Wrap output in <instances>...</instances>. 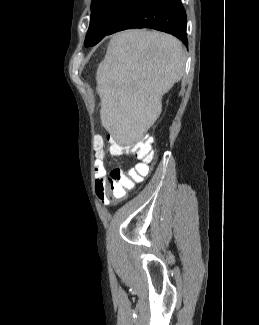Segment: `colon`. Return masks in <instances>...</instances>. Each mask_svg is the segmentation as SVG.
<instances>
[{
  "mask_svg": "<svg viewBox=\"0 0 259 325\" xmlns=\"http://www.w3.org/2000/svg\"><path fill=\"white\" fill-rule=\"evenodd\" d=\"M110 142V150L113 155L130 154L140 159L141 163L127 171L114 168L109 175L101 181L98 195L107 203L120 201L125 198L128 192L134 190L147 175L148 164L154 157L153 139L150 136L128 144H121L114 139H111ZM93 147L96 153H104L103 140L101 137H96L94 139Z\"/></svg>",
  "mask_w": 259,
  "mask_h": 325,
  "instance_id": "obj_1",
  "label": "colon"
}]
</instances>
